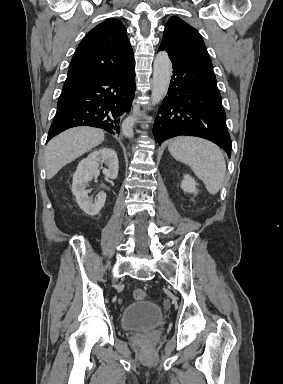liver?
<instances>
[{"mask_svg": "<svg viewBox=\"0 0 283 384\" xmlns=\"http://www.w3.org/2000/svg\"><path fill=\"white\" fill-rule=\"evenodd\" d=\"M104 142L103 130L98 128H71L50 140L45 150V166L48 180H51L63 166L70 164L85 152Z\"/></svg>", "mask_w": 283, "mask_h": 384, "instance_id": "obj_1", "label": "liver"}]
</instances>
